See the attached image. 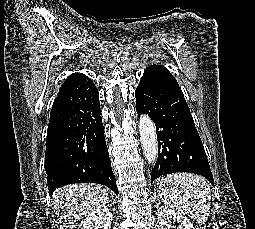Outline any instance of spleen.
Returning <instances> with one entry per match:
<instances>
[{
	"label": "spleen",
	"instance_id": "1",
	"mask_svg": "<svg viewBox=\"0 0 255 229\" xmlns=\"http://www.w3.org/2000/svg\"><path fill=\"white\" fill-rule=\"evenodd\" d=\"M158 195L166 204L187 214L198 224L207 221L211 190L202 176L184 172L168 175L159 181Z\"/></svg>",
	"mask_w": 255,
	"mask_h": 229
}]
</instances>
